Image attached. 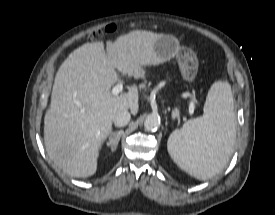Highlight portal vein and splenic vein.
Returning a JSON list of instances; mask_svg holds the SVG:
<instances>
[{"label": "portal vein and splenic vein", "mask_w": 275, "mask_h": 215, "mask_svg": "<svg viewBox=\"0 0 275 215\" xmlns=\"http://www.w3.org/2000/svg\"><path fill=\"white\" fill-rule=\"evenodd\" d=\"M123 90V84L122 83H118L117 85H115L113 88H112V94L117 96L121 91ZM194 107V102L191 101L190 103V108L193 109Z\"/></svg>", "instance_id": "obj_1"}]
</instances>
